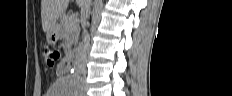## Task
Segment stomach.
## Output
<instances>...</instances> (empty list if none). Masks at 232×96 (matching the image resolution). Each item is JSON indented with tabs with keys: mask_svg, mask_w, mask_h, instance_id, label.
I'll list each match as a JSON object with an SVG mask.
<instances>
[{
	"mask_svg": "<svg viewBox=\"0 0 232 96\" xmlns=\"http://www.w3.org/2000/svg\"><path fill=\"white\" fill-rule=\"evenodd\" d=\"M60 38V27L58 25L47 33L48 44L54 45Z\"/></svg>",
	"mask_w": 232,
	"mask_h": 96,
	"instance_id": "1",
	"label": "stomach"
}]
</instances>
